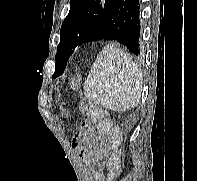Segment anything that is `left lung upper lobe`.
Instances as JSON below:
<instances>
[{
    "mask_svg": "<svg viewBox=\"0 0 197 181\" xmlns=\"http://www.w3.org/2000/svg\"><path fill=\"white\" fill-rule=\"evenodd\" d=\"M114 0H70V11L60 31L53 78L63 74L75 49L91 41V37Z\"/></svg>",
    "mask_w": 197,
    "mask_h": 181,
    "instance_id": "5c2ea615",
    "label": "left lung upper lobe"
}]
</instances>
